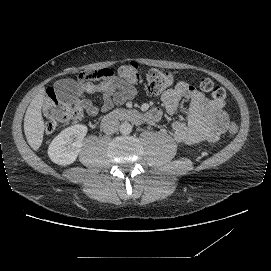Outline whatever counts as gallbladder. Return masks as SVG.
<instances>
[{
  "instance_id": "1",
  "label": "gallbladder",
  "mask_w": 271,
  "mask_h": 271,
  "mask_svg": "<svg viewBox=\"0 0 271 271\" xmlns=\"http://www.w3.org/2000/svg\"><path fill=\"white\" fill-rule=\"evenodd\" d=\"M55 97L64 106H77L82 98L80 85L72 79H61L54 83Z\"/></svg>"
}]
</instances>
